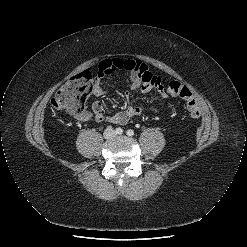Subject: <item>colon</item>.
<instances>
[{"mask_svg":"<svg viewBox=\"0 0 247 247\" xmlns=\"http://www.w3.org/2000/svg\"><path fill=\"white\" fill-rule=\"evenodd\" d=\"M168 95L180 97L186 102L189 115L193 119L200 116V107L192 92L177 81H171L166 87ZM93 92L92 76L89 71L70 78L53 96L51 105L74 115L84 112L87 100Z\"/></svg>","mask_w":247,"mask_h":247,"instance_id":"5ec220e1","label":"colon"}]
</instances>
